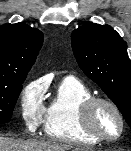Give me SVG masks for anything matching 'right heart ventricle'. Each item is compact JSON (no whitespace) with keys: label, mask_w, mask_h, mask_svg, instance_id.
Returning a JSON list of instances; mask_svg holds the SVG:
<instances>
[{"label":"right heart ventricle","mask_w":131,"mask_h":151,"mask_svg":"<svg viewBox=\"0 0 131 151\" xmlns=\"http://www.w3.org/2000/svg\"><path fill=\"white\" fill-rule=\"evenodd\" d=\"M91 96V91L80 80L65 77L45 108V134L61 142L97 144L99 141L83 131L79 120L80 107Z\"/></svg>","instance_id":"obj_1"}]
</instances>
